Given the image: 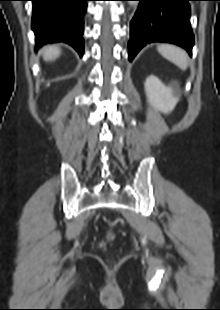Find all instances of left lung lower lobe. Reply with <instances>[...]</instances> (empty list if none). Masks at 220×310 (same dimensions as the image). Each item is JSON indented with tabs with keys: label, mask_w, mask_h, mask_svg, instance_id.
<instances>
[{
	"label": "left lung lower lobe",
	"mask_w": 220,
	"mask_h": 310,
	"mask_svg": "<svg viewBox=\"0 0 220 310\" xmlns=\"http://www.w3.org/2000/svg\"><path fill=\"white\" fill-rule=\"evenodd\" d=\"M138 9L130 23L129 60L151 42H168L192 54L194 36L190 24L193 0H134Z\"/></svg>",
	"instance_id": "0a47b994"
}]
</instances>
